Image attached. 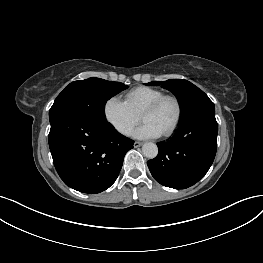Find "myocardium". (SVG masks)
<instances>
[{"mask_svg":"<svg viewBox=\"0 0 263 263\" xmlns=\"http://www.w3.org/2000/svg\"><path fill=\"white\" fill-rule=\"evenodd\" d=\"M167 100H171L175 104L176 115H175V118H174L172 124L170 125V127L165 132L162 133L166 137L172 135L180 124L182 114H183V108H182V104H181L180 99L177 96L172 95V94H164V95L156 98L155 100H153L149 104H147L141 112V115H142L143 113H145L147 111H153V110L159 108Z\"/></svg>","mask_w":263,"mask_h":263,"instance_id":"myocardium-1","label":"myocardium"}]
</instances>
